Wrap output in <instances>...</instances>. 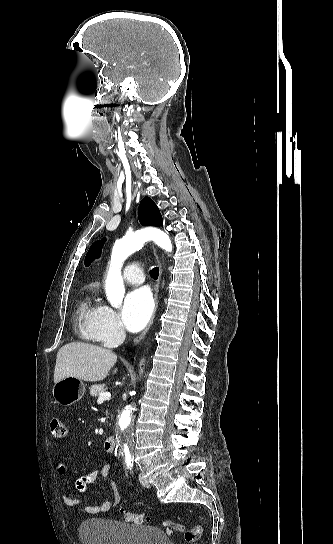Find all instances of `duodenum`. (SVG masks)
Wrapping results in <instances>:
<instances>
[{
	"mask_svg": "<svg viewBox=\"0 0 333 544\" xmlns=\"http://www.w3.org/2000/svg\"><path fill=\"white\" fill-rule=\"evenodd\" d=\"M115 437L109 436L104 440V449L106 452H113L115 448Z\"/></svg>",
	"mask_w": 333,
	"mask_h": 544,
	"instance_id": "1",
	"label": "duodenum"
}]
</instances>
